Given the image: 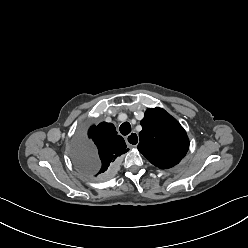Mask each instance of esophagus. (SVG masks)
Segmentation results:
<instances>
[{"instance_id": "esophagus-1", "label": "esophagus", "mask_w": 248, "mask_h": 248, "mask_svg": "<svg viewBox=\"0 0 248 248\" xmlns=\"http://www.w3.org/2000/svg\"><path fill=\"white\" fill-rule=\"evenodd\" d=\"M126 143H127L130 147H136L137 144L139 143V137H138L137 133H135V132L130 133V134L126 137Z\"/></svg>"}]
</instances>
